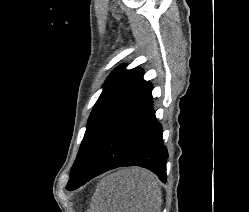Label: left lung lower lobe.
I'll return each mask as SVG.
<instances>
[{
  "mask_svg": "<svg viewBox=\"0 0 249 212\" xmlns=\"http://www.w3.org/2000/svg\"><path fill=\"white\" fill-rule=\"evenodd\" d=\"M152 85L107 132L80 176L67 184L75 190L92 178L114 168L140 166L166 181L168 152L162 140L152 103Z\"/></svg>",
  "mask_w": 249,
  "mask_h": 212,
  "instance_id": "obj_1",
  "label": "left lung lower lobe"
}]
</instances>
